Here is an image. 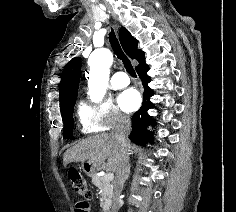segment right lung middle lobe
Wrapping results in <instances>:
<instances>
[{
    "label": "right lung middle lobe",
    "instance_id": "right-lung-middle-lobe-1",
    "mask_svg": "<svg viewBox=\"0 0 236 212\" xmlns=\"http://www.w3.org/2000/svg\"><path fill=\"white\" fill-rule=\"evenodd\" d=\"M76 98L66 101L63 108H61L62 119L64 123V138H72L73 132V110Z\"/></svg>",
    "mask_w": 236,
    "mask_h": 212
}]
</instances>
